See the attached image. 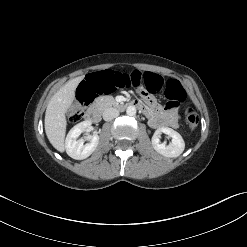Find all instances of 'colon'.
<instances>
[{
  "instance_id": "1",
  "label": "colon",
  "mask_w": 247,
  "mask_h": 247,
  "mask_svg": "<svg viewBox=\"0 0 247 247\" xmlns=\"http://www.w3.org/2000/svg\"><path fill=\"white\" fill-rule=\"evenodd\" d=\"M138 90L151 93L164 91L169 107H176L186 97V92L181 84L174 79L165 81L161 76L134 71L130 73L128 66L110 67L107 71H98L88 75L78 88V100L71 111V120L79 121L86 111L87 106L100 94H112L127 90L131 85ZM184 117L187 126L195 129L199 123V116L193 107H186Z\"/></svg>"
}]
</instances>
